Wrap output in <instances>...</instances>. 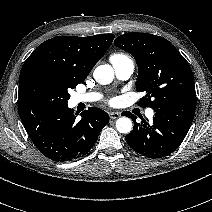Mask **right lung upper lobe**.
Masks as SVG:
<instances>
[{
	"mask_svg": "<svg viewBox=\"0 0 212 212\" xmlns=\"http://www.w3.org/2000/svg\"><path fill=\"white\" fill-rule=\"evenodd\" d=\"M113 39V34L51 38L39 45L24 62L19 85L35 72L51 73L77 84L82 83Z\"/></svg>",
	"mask_w": 212,
	"mask_h": 212,
	"instance_id": "1",
	"label": "right lung upper lobe"
}]
</instances>
